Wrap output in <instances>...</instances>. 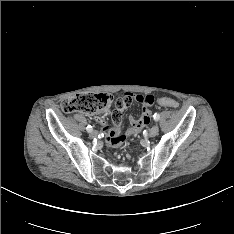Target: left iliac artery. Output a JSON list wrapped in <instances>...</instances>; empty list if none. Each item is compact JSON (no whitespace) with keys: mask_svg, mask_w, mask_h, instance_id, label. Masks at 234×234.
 <instances>
[{"mask_svg":"<svg viewBox=\"0 0 234 234\" xmlns=\"http://www.w3.org/2000/svg\"><path fill=\"white\" fill-rule=\"evenodd\" d=\"M153 118H154L155 121H158L160 119V115L158 113H155L153 115Z\"/></svg>","mask_w":234,"mask_h":234,"instance_id":"1","label":"left iliac artery"}]
</instances>
